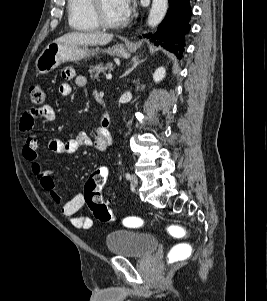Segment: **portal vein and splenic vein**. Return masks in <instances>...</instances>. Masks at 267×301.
<instances>
[{
  "label": "portal vein and splenic vein",
  "instance_id": "1",
  "mask_svg": "<svg viewBox=\"0 0 267 301\" xmlns=\"http://www.w3.org/2000/svg\"><path fill=\"white\" fill-rule=\"evenodd\" d=\"M106 79H108V80L112 79V74H111V73H108V74L106 75Z\"/></svg>",
  "mask_w": 267,
  "mask_h": 301
}]
</instances>
